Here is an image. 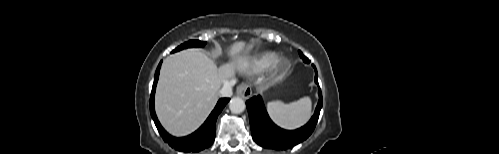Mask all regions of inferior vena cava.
<instances>
[{"instance_id":"inferior-vena-cava-1","label":"inferior vena cava","mask_w":499,"mask_h":154,"mask_svg":"<svg viewBox=\"0 0 499 154\" xmlns=\"http://www.w3.org/2000/svg\"><path fill=\"white\" fill-rule=\"evenodd\" d=\"M236 81L234 79L226 81L223 87L220 89L219 94L221 97H231L232 87L235 85Z\"/></svg>"}]
</instances>
